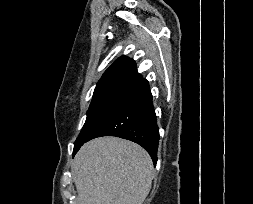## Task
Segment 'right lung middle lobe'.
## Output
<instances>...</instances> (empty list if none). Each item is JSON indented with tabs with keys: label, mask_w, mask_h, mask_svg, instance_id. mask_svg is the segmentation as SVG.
I'll return each mask as SVG.
<instances>
[{
	"label": "right lung middle lobe",
	"mask_w": 253,
	"mask_h": 204,
	"mask_svg": "<svg viewBox=\"0 0 253 204\" xmlns=\"http://www.w3.org/2000/svg\"><path fill=\"white\" fill-rule=\"evenodd\" d=\"M138 86L136 82H119L95 88L85 124L74 143L73 155Z\"/></svg>",
	"instance_id": "dd1d6c3e"
}]
</instances>
